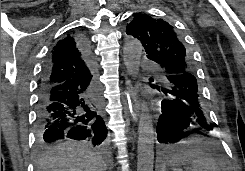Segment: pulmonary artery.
I'll use <instances>...</instances> for the list:
<instances>
[{"label":"pulmonary artery","instance_id":"obj_1","mask_svg":"<svg viewBox=\"0 0 245 171\" xmlns=\"http://www.w3.org/2000/svg\"><path fill=\"white\" fill-rule=\"evenodd\" d=\"M152 66H154V63H153L151 60H149V59H147V58H142V59H141V67H142L143 69H149V68H151Z\"/></svg>","mask_w":245,"mask_h":171}]
</instances>
